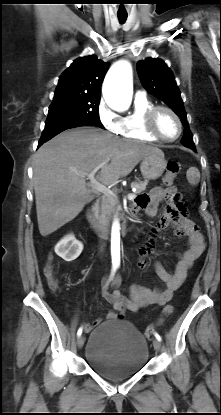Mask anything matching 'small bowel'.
<instances>
[{"label":"small bowel","mask_w":221,"mask_h":415,"mask_svg":"<svg viewBox=\"0 0 221 415\" xmlns=\"http://www.w3.org/2000/svg\"><path fill=\"white\" fill-rule=\"evenodd\" d=\"M161 202H166L162 218L151 229V236H154L162 228L171 224L179 236H187V248L180 254L179 261L173 273H169L159 262H155L154 267L158 277L164 282L165 288L148 289L139 285H132L129 295H125L120 289L122 279L120 275L113 274L106 277L102 284V297L112 305V309L107 312L106 320H113L121 317L125 310L138 311L148 305H164L170 301L174 292L182 285L186 279L189 269L196 259L202 254L205 248V241L202 234L197 231V226L188 221V210L185 201L177 191L176 187H156L147 194H140L135 199L133 209L144 210L147 216L156 215L158 206ZM152 250V240L140 248L138 266H147L146 257ZM101 319H96L91 325H86L85 329L90 330L98 326Z\"/></svg>","instance_id":"small-bowel-1"}]
</instances>
